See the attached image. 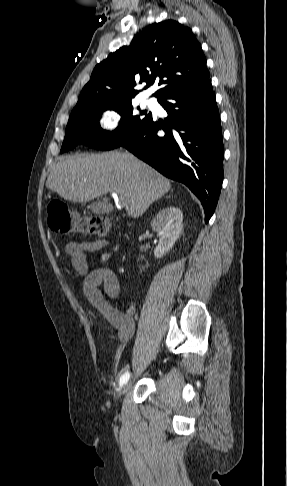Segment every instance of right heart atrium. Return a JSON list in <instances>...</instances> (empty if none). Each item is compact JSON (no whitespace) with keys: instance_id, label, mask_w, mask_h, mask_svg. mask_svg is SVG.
Listing matches in <instances>:
<instances>
[{"instance_id":"1","label":"right heart atrium","mask_w":287,"mask_h":486,"mask_svg":"<svg viewBox=\"0 0 287 486\" xmlns=\"http://www.w3.org/2000/svg\"><path fill=\"white\" fill-rule=\"evenodd\" d=\"M98 126L107 133L116 132L121 125V115L113 108L105 109L98 117Z\"/></svg>"}]
</instances>
